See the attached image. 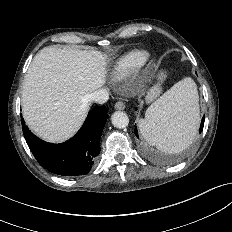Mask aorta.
<instances>
[{"instance_id":"1","label":"aorta","mask_w":232,"mask_h":232,"mask_svg":"<svg viewBox=\"0 0 232 232\" xmlns=\"http://www.w3.org/2000/svg\"><path fill=\"white\" fill-rule=\"evenodd\" d=\"M111 121L116 128H125L129 124L128 115L122 111H116L111 116Z\"/></svg>"}]
</instances>
